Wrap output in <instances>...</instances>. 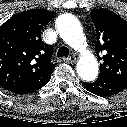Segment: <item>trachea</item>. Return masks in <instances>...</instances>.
<instances>
[{
	"mask_svg": "<svg viewBox=\"0 0 127 127\" xmlns=\"http://www.w3.org/2000/svg\"><path fill=\"white\" fill-rule=\"evenodd\" d=\"M69 55V50L67 47H60L57 51V56L58 57H68Z\"/></svg>",
	"mask_w": 127,
	"mask_h": 127,
	"instance_id": "trachea-1",
	"label": "trachea"
}]
</instances>
